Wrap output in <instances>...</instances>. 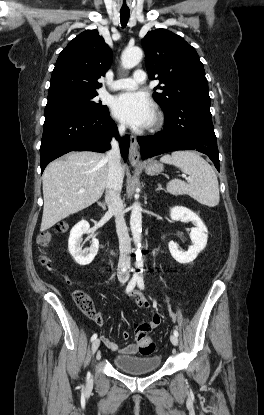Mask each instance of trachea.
Wrapping results in <instances>:
<instances>
[{
    "label": "trachea",
    "instance_id": "3493384b",
    "mask_svg": "<svg viewBox=\"0 0 264 415\" xmlns=\"http://www.w3.org/2000/svg\"><path fill=\"white\" fill-rule=\"evenodd\" d=\"M129 16H130L129 12H125V13L121 12L120 13V22H121V25L123 27H125L127 25L128 20H129Z\"/></svg>",
    "mask_w": 264,
    "mask_h": 415
}]
</instances>
